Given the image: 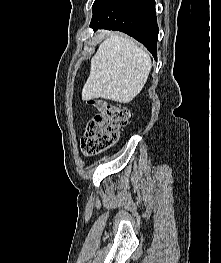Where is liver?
I'll return each mask as SVG.
<instances>
[{
  "mask_svg": "<svg viewBox=\"0 0 221 263\" xmlns=\"http://www.w3.org/2000/svg\"><path fill=\"white\" fill-rule=\"evenodd\" d=\"M151 71L149 54L133 39L112 33L91 59L82 99L103 98L129 103L143 89Z\"/></svg>",
  "mask_w": 221,
  "mask_h": 263,
  "instance_id": "1",
  "label": "liver"
}]
</instances>
